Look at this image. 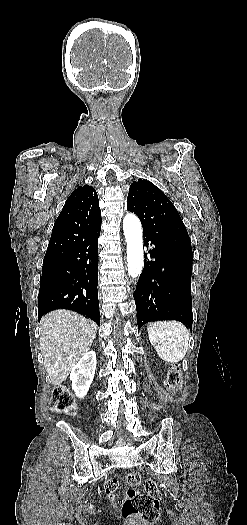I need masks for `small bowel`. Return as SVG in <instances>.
Returning <instances> with one entry per match:
<instances>
[{"instance_id": "small-bowel-1", "label": "small bowel", "mask_w": 247, "mask_h": 525, "mask_svg": "<svg viewBox=\"0 0 247 525\" xmlns=\"http://www.w3.org/2000/svg\"><path fill=\"white\" fill-rule=\"evenodd\" d=\"M117 482L113 479H110L106 483L105 490L109 496H112L116 491ZM109 500H112V497H109ZM113 510H116V507H113Z\"/></svg>"}]
</instances>
